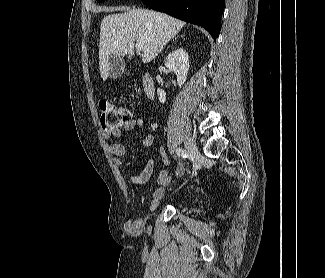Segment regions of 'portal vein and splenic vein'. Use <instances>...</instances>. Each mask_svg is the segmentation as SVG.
<instances>
[{
    "mask_svg": "<svg viewBox=\"0 0 325 278\" xmlns=\"http://www.w3.org/2000/svg\"><path fill=\"white\" fill-rule=\"evenodd\" d=\"M136 49L137 50H142L143 49V42L142 41H137V43H136Z\"/></svg>",
    "mask_w": 325,
    "mask_h": 278,
    "instance_id": "18ae733b",
    "label": "portal vein and splenic vein"
}]
</instances>
